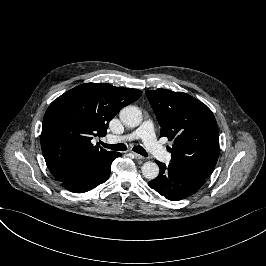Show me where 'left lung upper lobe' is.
Instances as JSON below:
<instances>
[{
	"mask_svg": "<svg viewBox=\"0 0 266 266\" xmlns=\"http://www.w3.org/2000/svg\"><path fill=\"white\" fill-rule=\"evenodd\" d=\"M160 123V137L173 140L171 163L208 177L219 156V131L211 110L194 97L167 89L146 91Z\"/></svg>",
	"mask_w": 266,
	"mask_h": 266,
	"instance_id": "1",
	"label": "left lung upper lobe"
}]
</instances>
